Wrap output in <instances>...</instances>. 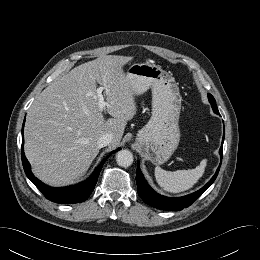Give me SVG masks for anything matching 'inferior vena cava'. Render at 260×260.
Wrapping results in <instances>:
<instances>
[{
  "label": "inferior vena cava",
  "mask_w": 260,
  "mask_h": 260,
  "mask_svg": "<svg viewBox=\"0 0 260 260\" xmlns=\"http://www.w3.org/2000/svg\"><path fill=\"white\" fill-rule=\"evenodd\" d=\"M113 140V135L110 133H105L101 135L97 141V144L100 148L109 145Z\"/></svg>",
  "instance_id": "602c4592"
}]
</instances>
